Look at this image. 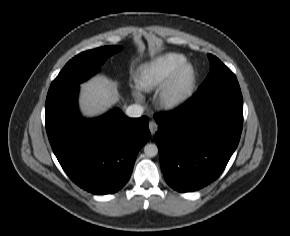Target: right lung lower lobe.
Instances as JSON below:
<instances>
[{"instance_id": "1", "label": "right lung lower lobe", "mask_w": 290, "mask_h": 236, "mask_svg": "<svg viewBox=\"0 0 290 236\" xmlns=\"http://www.w3.org/2000/svg\"><path fill=\"white\" fill-rule=\"evenodd\" d=\"M79 84L50 87L46 130L69 178L94 194H112L129 180L139 150L150 138L148 118H128L115 108L86 120L77 108Z\"/></svg>"}]
</instances>
